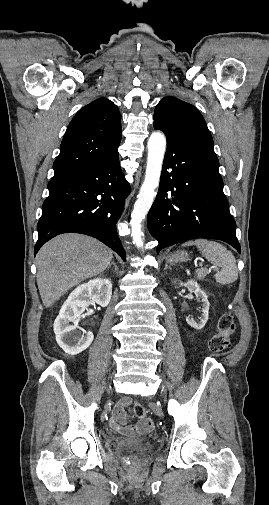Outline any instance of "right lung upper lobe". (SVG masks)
Masks as SVG:
<instances>
[{
	"instance_id": "cb5924a9",
	"label": "right lung upper lobe",
	"mask_w": 269,
	"mask_h": 505,
	"mask_svg": "<svg viewBox=\"0 0 269 505\" xmlns=\"http://www.w3.org/2000/svg\"><path fill=\"white\" fill-rule=\"evenodd\" d=\"M121 120L118 107L99 98L81 108L70 122L53 164L54 177L64 175L118 152Z\"/></svg>"
}]
</instances>
